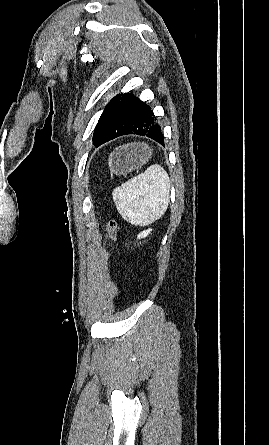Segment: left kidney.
Listing matches in <instances>:
<instances>
[{"mask_svg": "<svg viewBox=\"0 0 269 445\" xmlns=\"http://www.w3.org/2000/svg\"><path fill=\"white\" fill-rule=\"evenodd\" d=\"M151 232V229L145 230L138 235V239L147 237Z\"/></svg>", "mask_w": 269, "mask_h": 445, "instance_id": "5707ae66", "label": "left kidney"}]
</instances>
